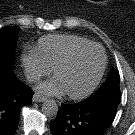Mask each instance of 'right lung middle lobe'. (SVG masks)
<instances>
[{"label": "right lung middle lobe", "instance_id": "dd1d6c3e", "mask_svg": "<svg viewBox=\"0 0 135 135\" xmlns=\"http://www.w3.org/2000/svg\"><path fill=\"white\" fill-rule=\"evenodd\" d=\"M18 27L7 26L0 29V72H11L15 60Z\"/></svg>", "mask_w": 135, "mask_h": 135}]
</instances>
